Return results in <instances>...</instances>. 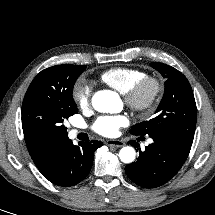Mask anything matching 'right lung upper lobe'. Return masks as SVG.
I'll list each match as a JSON object with an SVG mask.
<instances>
[{"instance_id": "obj_1", "label": "right lung upper lobe", "mask_w": 215, "mask_h": 215, "mask_svg": "<svg viewBox=\"0 0 215 215\" xmlns=\"http://www.w3.org/2000/svg\"><path fill=\"white\" fill-rule=\"evenodd\" d=\"M23 132L28 151L40 172L47 170L50 160L58 147L68 139L56 142H44L35 139L25 131Z\"/></svg>"}]
</instances>
